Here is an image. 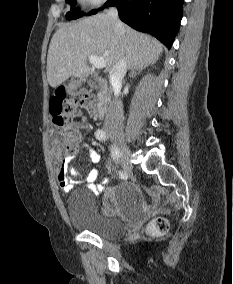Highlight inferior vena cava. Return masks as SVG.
<instances>
[{
    "label": "inferior vena cava",
    "instance_id": "602c4592",
    "mask_svg": "<svg viewBox=\"0 0 233 284\" xmlns=\"http://www.w3.org/2000/svg\"><path fill=\"white\" fill-rule=\"evenodd\" d=\"M107 14L117 22V26L121 33L124 34V28L118 20V12L114 7L109 8ZM127 61L121 58L113 70L110 72V82L113 88L120 89L122 86L123 78L127 71ZM123 105L120 100H113L108 107V111L104 121V128L106 131H121L123 127Z\"/></svg>",
    "mask_w": 233,
    "mask_h": 284
}]
</instances>
